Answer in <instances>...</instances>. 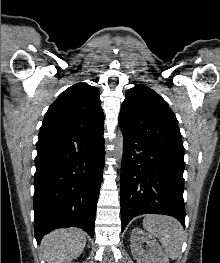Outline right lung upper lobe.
<instances>
[{
	"mask_svg": "<svg viewBox=\"0 0 220 263\" xmlns=\"http://www.w3.org/2000/svg\"><path fill=\"white\" fill-rule=\"evenodd\" d=\"M103 122L98 89L87 83H78L66 89L49 107L38 141L95 133L104 129Z\"/></svg>",
	"mask_w": 220,
	"mask_h": 263,
	"instance_id": "1",
	"label": "right lung upper lobe"
}]
</instances>
